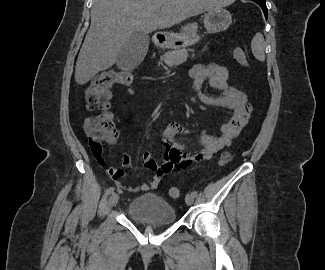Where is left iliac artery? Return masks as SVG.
<instances>
[{
	"instance_id": "44dca946",
	"label": "left iliac artery",
	"mask_w": 325,
	"mask_h": 270,
	"mask_svg": "<svg viewBox=\"0 0 325 270\" xmlns=\"http://www.w3.org/2000/svg\"><path fill=\"white\" fill-rule=\"evenodd\" d=\"M191 195H193L194 197H196L197 196V192L196 191H192L191 192Z\"/></svg>"
}]
</instances>
